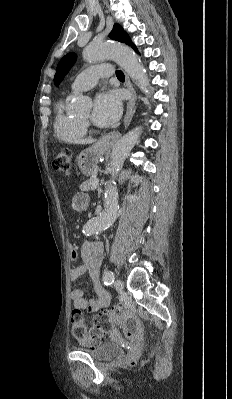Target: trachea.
I'll return each instance as SVG.
<instances>
[{"instance_id":"3493384b","label":"trachea","mask_w":232,"mask_h":399,"mask_svg":"<svg viewBox=\"0 0 232 399\" xmlns=\"http://www.w3.org/2000/svg\"><path fill=\"white\" fill-rule=\"evenodd\" d=\"M116 76L119 80H125L124 73L121 70L116 71Z\"/></svg>"}]
</instances>
